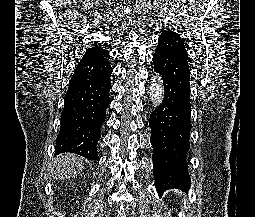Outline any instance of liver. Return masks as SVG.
Wrapping results in <instances>:
<instances>
[{
  "instance_id": "1",
  "label": "liver",
  "mask_w": 255,
  "mask_h": 217,
  "mask_svg": "<svg viewBox=\"0 0 255 217\" xmlns=\"http://www.w3.org/2000/svg\"><path fill=\"white\" fill-rule=\"evenodd\" d=\"M84 169V160L75 154H60L54 159L52 176L64 180L80 174Z\"/></svg>"
}]
</instances>
